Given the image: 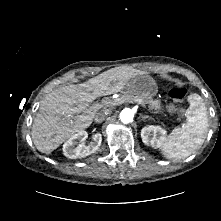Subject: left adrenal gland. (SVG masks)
<instances>
[{"mask_svg": "<svg viewBox=\"0 0 221 221\" xmlns=\"http://www.w3.org/2000/svg\"><path fill=\"white\" fill-rule=\"evenodd\" d=\"M147 118H149L148 115H144V116H142V119H143V120H145V119H147Z\"/></svg>", "mask_w": 221, "mask_h": 221, "instance_id": "obj_1", "label": "left adrenal gland"}]
</instances>
